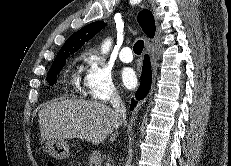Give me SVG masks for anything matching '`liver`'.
Listing matches in <instances>:
<instances>
[{"mask_svg": "<svg viewBox=\"0 0 231 166\" xmlns=\"http://www.w3.org/2000/svg\"><path fill=\"white\" fill-rule=\"evenodd\" d=\"M122 123L116 111L94 101L67 99L39 111L42 141L80 138L96 145L111 135L110 142H114Z\"/></svg>", "mask_w": 231, "mask_h": 166, "instance_id": "liver-1", "label": "liver"}]
</instances>
